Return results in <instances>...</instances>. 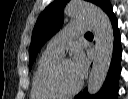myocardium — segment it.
<instances>
[{"mask_svg":"<svg viewBox=\"0 0 128 99\" xmlns=\"http://www.w3.org/2000/svg\"><path fill=\"white\" fill-rule=\"evenodd\" d=\"M69 60L66 57H60L56 62H54L44 73L43 81L47 89L56 93L59 96H71L79 92L83 86V81L80 80L79 84L73 89L66 90L63 89L57 81L58 72L64 61Z\"/></svg>","mask_w":128,"mask_h":99,"instance_id":"1","label":"myocardium"}]
</instances>
